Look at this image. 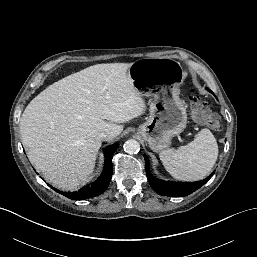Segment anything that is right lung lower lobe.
Wrapping results in <instances>:
<instances>
[{"label":"right lung lower lobe","mask_w":257,"mask_h":257,"mask_svg":"<svg viewBox=\"0 0 257 257\" xmlns=\"http://www.w3.org/2000/svg\"><path fill=\"white\" fill-rule=\"evenodd\" d=\"M118 149V143L108 146L104 149L105 153V163L104 169L101 175L92 183L84 186L78 191L75 192H59L62 195L66 196L69 199L73 200H83L91 197H95L103 193L111 180L112 177V156L113 153Z\"/></svg>","instance_id":"98d812e1"}]
</instances>
